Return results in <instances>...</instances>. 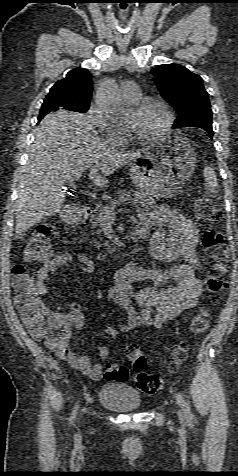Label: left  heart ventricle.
Masks as SVG:
<instances>
[{
	"label": "left heart ventricle",
	"instance_id": "b2bd125f",
	"mask_svg": "<svg viewBox=\"0 0 238 476\" xmlns=\"http://www.w3.org/2000/svg\"><path fill=\"white\" fill-rule=\"evenodd\" d=\"M166 116L159 106H149L140 112L132 109L125 117V123L139 135H149L158 131L165 123Z\"/></svg>",
	"mask_w": 238,
	"mask_h": 476
}]
</instances>
